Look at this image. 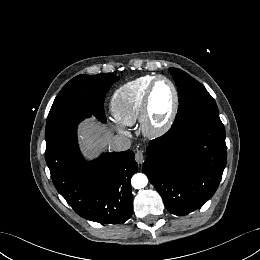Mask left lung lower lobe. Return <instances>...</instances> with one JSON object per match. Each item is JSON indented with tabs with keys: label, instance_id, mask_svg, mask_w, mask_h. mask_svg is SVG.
Segmentation results:
<instances>
[{
	"label": "left lung lower lobe",
	"instance_id": "0a47b994",
	"mask_svg": "<svg viewBox=\"0 0 260 260\" xmlns=\"http://www.w3.org/2000/svg\"><path fill=\"white\" fill-rule=\"evenodd\" d=\"M225 129L218 112H201L149 142L143 171L172 214L201 207L226 166Z\"/></svg>",
	"mask_w": 260,
	"mask_h": 260
}]
</instances>
